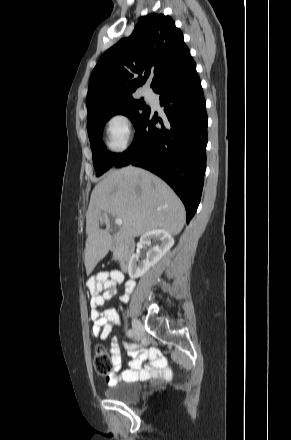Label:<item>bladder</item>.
I'll return each mask as SVG.
<instances>
[{"label": "bladder", "instance_id": "bladder-1", "mask_svg": "<svg viewBox=\"0 0 291 440\" xmlns=\"http://www.w3.org/2000/svg\"><path fill=\"white\" fill-rule=\"evenodd\" d=\"M104 395L120 403H132L140 398L139 382L132 381L118 384L104 390Z\"/></svg>", "mask_w": 291, "mask_h": 440}]
</instances>
